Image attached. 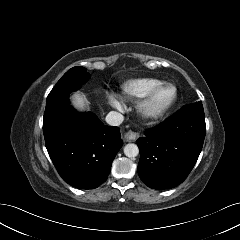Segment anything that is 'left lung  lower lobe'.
Here are the masks:
<instances>
[{
    "label": "left lung lower lobe",
    "instance_id": "0a47b994",
    "mask_svg": "<svg viewBox=\"0 0 240 240\" xmlns=\"http://www.w3.org/2000/svg\"><path fill=\"white\" fill-rule=\"evenodd\" d=\"M206 132L202 102L183 106L137 140L138 174L150 188L170 189L182 183L202 150Z\"/></svg>",
    "mask_w": 240,
    "mask_h": 240
}]
</instances>
